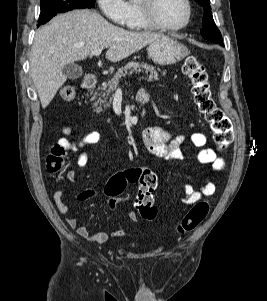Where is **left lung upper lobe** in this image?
<instances>
[{
	"instance_id": "left-lung-upper-lobe-1",
	"label": "left lung upper lobe",
	"mask_w": 267,
	"mask_h": 301,
	"mask_svg": "<svg viewBox=\"0 0 267 301\" xmlns=\"http://www.w3.org/2000/svg\"><path fill=\"white\" fill-rule=\"evenodd\" d=\"M195 1L200 6H202V8L205 11L203 15V22H202L203 28L201 30V35L206 40L222 45L223 44L222 35L213 20L210 0H195Z\"/></svg>"
}]
</instances>
